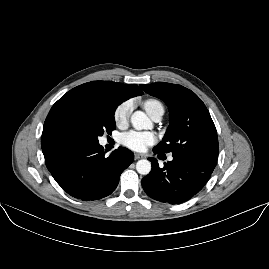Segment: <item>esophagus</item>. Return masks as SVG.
Returning a JSON list of instances; mask_svg holds the SVG:
<instances>
[{"label": "esophagus", "mask_w": 269, "mask_h": 269, "mask_svg": "<svg viewBox=\"0 0 269 269\" xmlns=\"http://www.w3.org/2000/svg\"><path fill=\"white\" fill-rule=\"evenodd\" d=\"M135 160H139V159H142L143 158V155L140 154V153H135Z\"/></svg>", "instance_id": "34e87169"}]
</instances>
